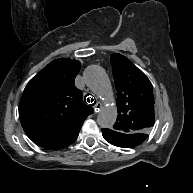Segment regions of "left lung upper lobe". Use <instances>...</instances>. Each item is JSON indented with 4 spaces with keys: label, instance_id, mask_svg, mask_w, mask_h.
<instances>
[{
    "label": "left lung upper lobe",
    "instance_id": "1",
    "mask_svg": "<svg viewBox=\"0 0 193 193\" xmlns=\"http://www.w3.org/2000/svg\"><path fill=\"white\" fill-rule=\"evenodd\" d=\"M111 65L117 89V121L114 131L140 137L154 124V97L151 82L130 60L111 54Z\"/></svg>",
    "mask_w": 193,
    "mask_h": 193
}]
</instances>
